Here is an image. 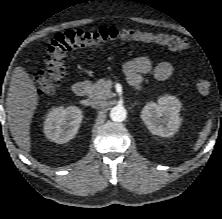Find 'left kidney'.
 <instances>
[{
    "label": "left kidney",
    "instance_id": "5707ae66",
    "mask_svg": "<svg viewBox=\"0 0 222 219\" xmlns=\"http://www.w3.org/2000/svg\"><path fill=\"white\" fill-rule=\"evenodd\" d=\"M181 102L174 96H161L158 103H147L141 118L150 132L161 137L173 136L181 124Z\"/></svg>",
    "mask_w": 222,
    "mask_h": 219
}]
</instances>
